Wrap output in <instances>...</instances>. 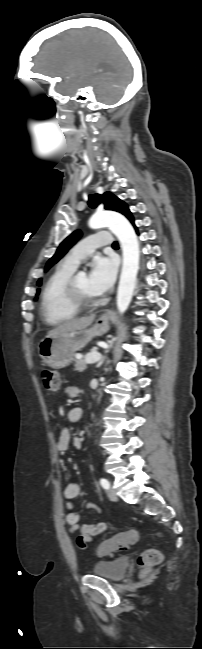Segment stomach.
<instances>
[{
	"label": "stomach",
	"mask_w": 202,
	"mask_h": 649,
	"mask_svg": "<svg viewBox=\"0 0 202 649\" xmlns=\"http://www.w3.org/2000/svg\"><path fill=\"white\" fill-rule=\"evenodd\" d=\"M109 318L102 315L96 324L86 330L69 331L55 337H45L38 344L43 362L53 369H61L72 362L74 354L88 344L93 337L106 333Z\"/></svg>",
	"instance_id": "stomach-1"
}]
</instances>
